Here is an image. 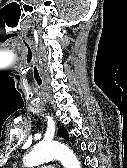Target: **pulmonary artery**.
Instances as JSON below:
<instances>
[{"instance_id": "e3ab8cb5", "label": "pulmonary artery", "mask_w": 127, "mask_h": 168, "mask_svg": "<svg viewBox=\"0 0 127 168\" xmlns=\"http://www.w3.org/2000/svg\"><path fill=\"white\" fill-rule=\"evenodd\" d=\"M36 168H51V166H49V165H41V166L36 167Z\"/></svg>"}]
</instances>
